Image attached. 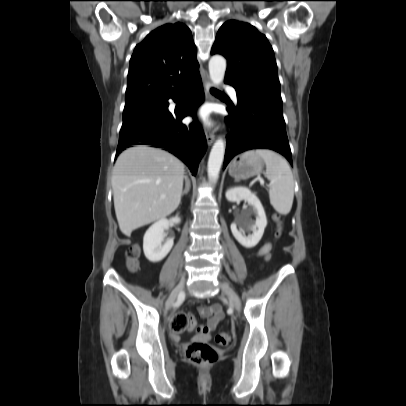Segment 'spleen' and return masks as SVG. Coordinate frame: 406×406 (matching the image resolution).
Here are the masks:
<instances>
[{
	"instance_id": "obj_1",
	"label": "spleen",
	"mask_w": 406,
	"mask_h": 406,
	"mask_svg": "<svg viewBox=\"0 0 406 406\" xmlns=\"http://www.w3.org/2000/svg\"><path fill=\"white\" fill-rule=\"evenodd\" d=\"M245 157H260L266 164V177L270 181L269 198L273 208L282 215H287L294 199V179L287 161L268 149L247 151Z\"/></svg>"
}]
</instances>
